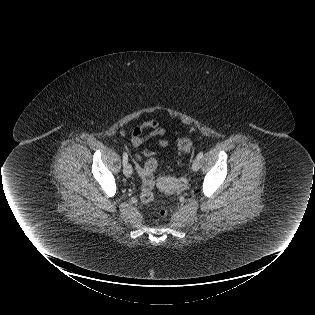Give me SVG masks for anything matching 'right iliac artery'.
<instances>
[{"instance_id":"82829eb1","label":"right iliac artery","mask_w":315,"mask_h":315,"mask_svg":"<svg viewBox=\"0 0 315 315\" xmlns=\"http://www.w3.org/2000/svg\"><path fill=\"white\" fill-rule=\"evenodd\" d=\"M128 162V155L126 152L123 153V165L125 166V164H127Z\"/></svg>"}]
</instances>
